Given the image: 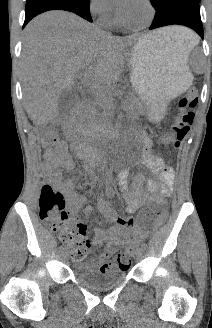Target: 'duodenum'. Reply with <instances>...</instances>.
I'll return each instance as SVG.
<instances>
[{"label": "duodenum", "mask_w": 212, "mask_h": 328, "mask_svg": "<svg viewBox=\"0 0 212 328\" xmlns=\"http://www.w3.org/2000/svg\"><path fill=\"white\" fill-rule=\"evenodd\" d=\"M82 95L85 98H90L93 96V93L88 87H83ZM77 114H78V109L73 110L71 114L63 122L64 130L69 134L74 133V120ZM72 148L79 158L84 159L89 163H98L102 158L100 154H97L95 152L92 146L88 145L87 143H85L84 141H82L77 137L73 138Z\"/></svg>", "instance_id": "410a0bca"}]
</instances>
